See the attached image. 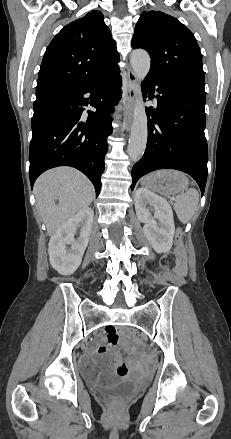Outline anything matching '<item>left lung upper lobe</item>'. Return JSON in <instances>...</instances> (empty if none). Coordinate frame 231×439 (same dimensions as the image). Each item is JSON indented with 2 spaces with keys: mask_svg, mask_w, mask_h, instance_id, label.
<instances>
[{
  "mask_svg": "<svg viewBox=\"0 0 231 439\" xmlns=\"http://www.w3.org/2000/svg\"><path fill=\"white\" fill-rule=\"evenodd\" d=\"M132 47L143 48L150 54L147 77L205 85L197 41L176 18L163 12L144 11L135 26Z\"/></svg>",
  "mask_w": 231,
  "mask_h": 439,
  "instance_id": "obj_1",
  "label": "left lung upper lobe"
}]
</instances>
